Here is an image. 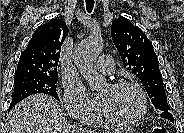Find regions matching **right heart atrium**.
I'll return each instance as SVG.
<instances>
[{
	"instance_id": "obj_1",
	"label": "right heart atrium",
	"mask_w": 184,
	"mask_h": 133,
	"mask_svg": "<svg viewBox=\"0 0 184 133\" xmlns=\"http://www.w3.org/2000/svg\"><path fill=\"white\" fill-rule=\"evenodd\" d=\"M64 105L69 115L82 120H92L98 113L95 103L76 80L64 83Z\"/></svg>"
}]
</instances>
